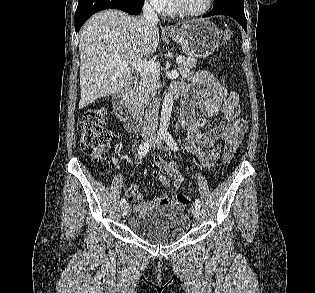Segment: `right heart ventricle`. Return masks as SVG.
<instances>
[{"instance_id":"1","label":"right heart ventricle","mask_w":315,"mask_h":293,"mask_svg":"<svg viewBox=\"0 0 315 293\" xmlns=\"http://www.w3.org/2000/svg\"><path fill=\"white\" fill-rule=\"evenodd\" d=\"M164 12H165L167 15H174V14L176 13V11H175L174 8H173L172 1H171V0L168 1V4H167L166 8L164 9Z\"/></svg>"}]
</instances>
